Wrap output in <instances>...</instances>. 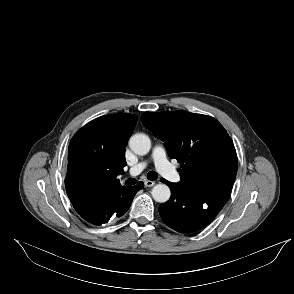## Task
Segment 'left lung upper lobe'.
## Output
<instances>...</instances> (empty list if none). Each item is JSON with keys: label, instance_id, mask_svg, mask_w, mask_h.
Returning a JSON list of instances; mask_svg holds the SVG:
<instances>
[{"label": "left lung upper lobe", "instance_id": "5c2ea615", "mask_svg": "<svg viewBox=\"0 0 294 294\" xmlns=\"http://www.w3.org/2000/svg\"><path fill=\"white\" fill-rule=\"evenodd\" d=\"M144 126L164 141L170 158L181 164L184 188L228 186L232 189L238 168L231 137L213 117L184 111L144 112Z\"/></svg>", "mask_w": 294, "mask_h": 294}]
</instances>
